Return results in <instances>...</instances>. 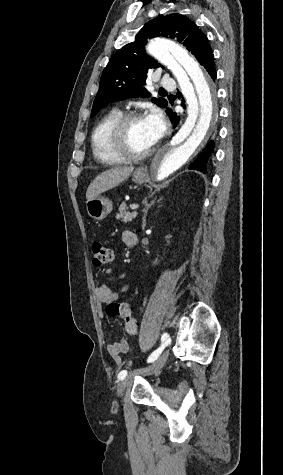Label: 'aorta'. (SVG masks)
<instances>
[{
  "label": "aorta",
  "mask_w": 283,
  "mask_h": 475,
  "mask_svg": "<svg viewBox=\"0 0 283 475\" xmlns=\"http://www.w3.org/2000/svg\"><path fill=\"white\" fill-rule=\"evenodd\" d=\"M147 52L173 72L187 102L188 116L184 124L152 160L151 181L160 183L200 151L217 119V107L212 81L187 50L174 41L156 38L148 44Z\"/></svg>",
  "instance_id": "1"
}]
</instances>
